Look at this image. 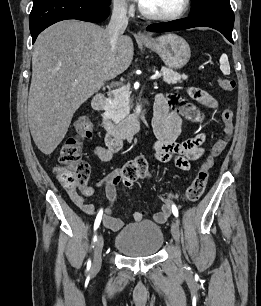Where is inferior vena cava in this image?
Returning <instances> with one entry per match:
<instances>
[{
	"mask_svg": "<svg viewBox=\"0 0 261 306\" xmlns=\"http://www.w3.org/2000/svg\"><path fill=\"white\" fill-rule=\"evenodd\" d=\"M127 25L126 6L123 2L117 1L113 5L111 20L106 28L112 49L115 48L118 38L124 33Z\"/></svg>",
	"mask_w": 261,
	"mask_h": 306,
	"instance_id": "602c4592",
	"label": "inferior vena cava"
}]
</instances>
